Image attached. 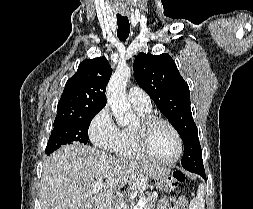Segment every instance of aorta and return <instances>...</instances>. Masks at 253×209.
<instances>
[{"instance_id": "1", "label": "aorta", "mask_w": 253, "mask_h": 209, "mask_svg": "<svg viewBox=\"0 0 253 209\" xmlns=\"http://www.w3.org/2000/svg\"><path fill=\"white\" fill-rule=\"evenodd\" d=\"M130 76L131 69L128 65H118L106 89L107 102L120 126L131 125L135 121L126 99V85Z\"/></svg>"}]
</instances>
